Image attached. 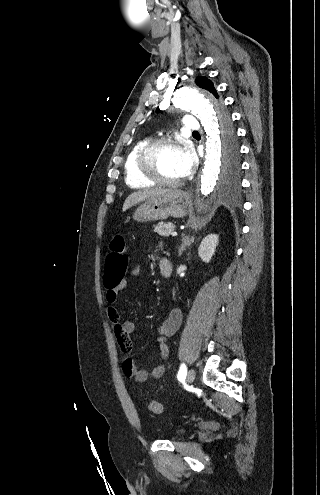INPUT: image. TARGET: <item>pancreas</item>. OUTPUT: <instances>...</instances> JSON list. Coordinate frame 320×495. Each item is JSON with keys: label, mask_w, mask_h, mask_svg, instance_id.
<instances>
[{"label": "pancreas", "mask_w": 320, "mask_h": 495, "mask_svg": "<svg viewBox=\"0 0 320 495\" xmlns=\"http://www.w3.org/2000/svg\"><path fill=\"white\" fill-rule=\"evenodd\" d=\"M154 232L165 237H169L175 230V225L173 223H164L159 222L157 225H154Z\"/></svg>", "instance_id": "1"}]
</instances>
